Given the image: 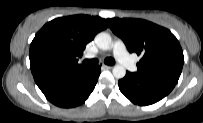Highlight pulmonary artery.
<instances>
[{
    "label": "pulmonary artery",
    "instance_id": "1",
    "mask_svg": "<svg viewBox=\"0 0 203 123\" xmlns=\"http://www.w3.org/2000/svg\"><path fill=\"white\" fill-rule=\"evenodd\" d=\"M113 52L122 66H124L127 70L131 72L136 71V65L127 53L125 45L122 41L117 40L114 42Z\"/></svg>",
    "mask_w": 203,
    "mask_h": 123
}]
</instances>
